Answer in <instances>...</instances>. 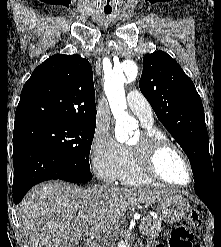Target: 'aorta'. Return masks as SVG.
Wrapping results in <instances>:
<instances>
[{
    "instance_id": "1",
    "label": "aorta",
    "mask_w": 221,
    "mask_h": 247,
    "mask_svg": "<svg viewBox=\"0 0 221 247\" xmlns=\"http://www.w3.org/2000/svg\"><path fill=\"white\" fill-rule=\"evenodd\" d=\"M137 66L133 62H128L120 67H115L105 75L104 91L109 101L111 112L116 119L115 136L119 142H125L137 129V121L127 112V103L124 90V83L127 81L126 75L131 79L137 76ZM118 247H126L123 242L118 243Z\"/></svg>"
}]
</instances>
